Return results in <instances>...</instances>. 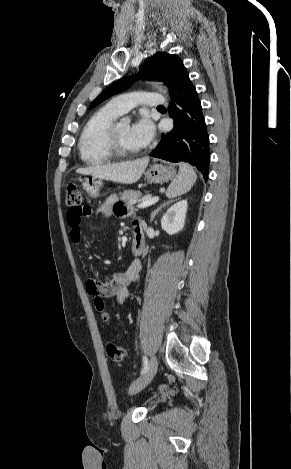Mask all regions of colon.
Segmentation results:
<instances>
[{"label":"colon","instance_id":"obj_1","mask_svg":"<svg viewBox=\"0 0 291 469\" xmlns=\"http://www.w3.org/2000/svg\"><path fill=\"white\" fill-rule=\"evenodd\" d=\"M66 202L71 209L77 210L80 215L88 216L90 209L82 206V193L78 186L69 185L66 191ZM106 299L105 295H97L95 305L101 313L102 320L107 322L109 320L108 314L104 310L103 300ZM106 353L108 357L114 362H121L126 356V350L121 345L109 343L106 346Z\"/></svg>","mask_w":291,"mask_h":469}]
</instances>
